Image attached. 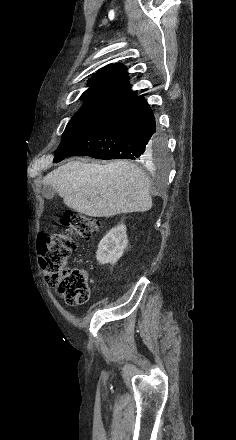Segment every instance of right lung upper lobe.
I'll return each mask as SVG.
<instances>
[{
	"instance_id": "right-lung-upper-lobe-1",
	"label": "right lung upper lobe",
	"mask_w": 236,
	"mask_h": 440,
	"mask_svg": "<svg viewBox=\"0 0 236 440\" xmlns=\"http://www.w3.org/2000/svg\"><path fill=\"white\" fill-rule=\"evenodd\" d=\"M137 92L131 89L126 66L108 65L100 69L89 81L81 99L86 103L118 107L133 99Z\"/></svg>"
}]
</instances>
